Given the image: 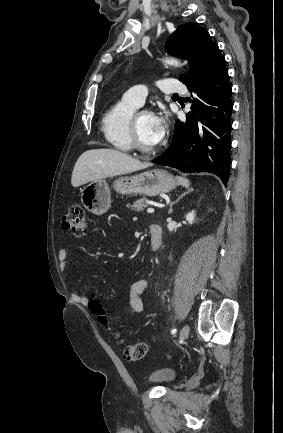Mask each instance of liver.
I'll return each mask as SVG.
<instances>
[{
	"label": "liver",
	"instance_id": "obj_1",
	"mask_svg": "<svg viewBox=\"0 0 283 433\" xmlns=\"http://www.w3.org/2000/svg\"><path fill=\"white\" fill-rule=\"evenodd\" d=\"M151 166V162H141L126 152L114 148H92L80 154L71 176L72 186L86 184L90 180L126 174Z\"/></svg>",
	"mask_w": 283,
	"mask_h": 433
}]
</instances>
